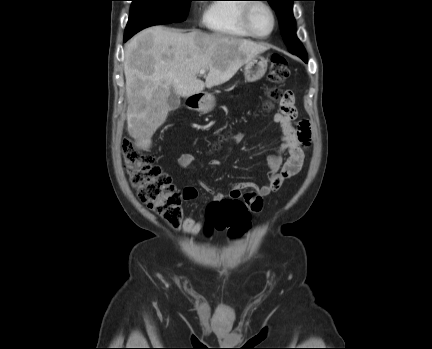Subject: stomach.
Returning <instances> with one entry per match:
<instances>
[{"label":"stomach","mask_w":432,"mask_h":349,"mask_svg":"<svg viewBox=\"0 0 432 349\" xmlns=\"http://www.w3.org/2000/svg\"><path fill=\"white\" fill-rule=\"evenodd\" d=\"M268 59L256 56L246 63L244 76L247 82H255L261 79L267 71ZM215 106V97L210 93L202 95L198 101L197 108L202 113L210 112Z\"/></svg>","instance_id":"0dacf381"}]
</instances>
